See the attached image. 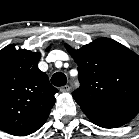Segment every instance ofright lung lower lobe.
I'll return each instance as SVG.
<instances>
[{
  "mask_svg": "<svg viewBox=\"0 0 139 139\" xmlns=\"http://www.w3.org/2000/svg\"><path fill=\"white\" fill-rule=\"evenodd\" d=\"M38 129H39V128H38ZM38 129H37V130H38ZM35 131H36V130H35ZM35 131H33V132H35ZM33 132H31V133H33ZM31 133H29V134H31ZM27 135H28V134H27Z\"/></svg>",
  "mask_w": 139,
  "mask_h": 139,
  "instance_id": "1",
  "label": "right lung lower lobe"
}]
</instances>
